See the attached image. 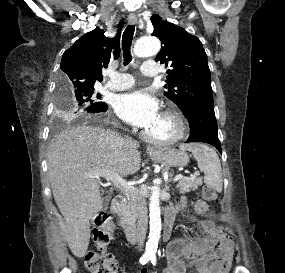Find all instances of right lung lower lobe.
Instances as JSON below:
<instances>
[{
  "instance_id": "obj_1",
  "label": "right lung lower lobe",
  "mask_w": 285,
  "mask_h": 273,
  "mask_svg": "<svg viewBox=\"0 0 285 273\" xmlns=\"http://www.w3.org/2000/svg\"><path fill=\"white\" fill-rule=\"evenodd\" d=\"M108 109V106L107 104L105 103L100 109L98 112H103V111H106Z\"/></svg>"
}]
</instances>
